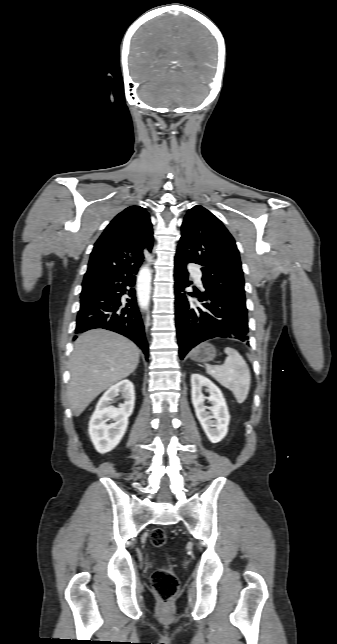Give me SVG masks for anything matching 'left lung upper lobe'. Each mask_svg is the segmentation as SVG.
Wrapping results in <instances>:
<instances>
[{"label": "left lung upper lobe", "instance_id": "left-lung-upper-lobe-1", "mask_svg": "<svg viewBox=\"0 0 337 644\" xmlns=\"http://www.w3.org/2000/svg\"><path fill=\"white\" fill-rule=\"evenodd\" d=\"M202 266L203 284L247 311L244 278L235 240L221 221L200 205L183 221L176 257Z\"/></svg>", "mask_w": 337, "mask_h": 644}]
</instances>
